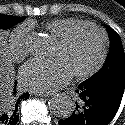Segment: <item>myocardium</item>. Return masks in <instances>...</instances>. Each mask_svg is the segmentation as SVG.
Masks as SVG:
<instances>
[{
    "mask_svg": "<svg viewBox=\"0 0 125 125\" xmlns=\"http://www.w3.org/2000/svg\"><path fill=\"white\" fill-rule=\"evenodd\" d=\"M84 28L93 29L100 34L101 51L97 61L94 63L93 66L85 71L76 72L73 74V76L77 79H86L97 73L103 67L108 55L109 38L107 32L99 25L89 21H83L77 25L72 26L60 38L57 39V43L62 47L66 46L68 43H70L75 34Z\"/></svg>",
    "mask_w": 125,
    "mask_h": 125,
    "instance_id": "1",
    "label": "myocardium"
}]
</instances>
